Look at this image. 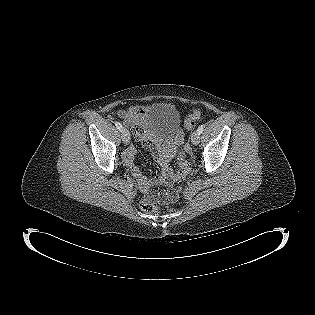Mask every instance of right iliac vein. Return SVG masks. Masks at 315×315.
<instances>
[{"instance_id": "obj_1", "label": "right iliac vein", "mask_w": 315, "mask_h": 315, "mask_svg": "<svg viewBox=\"0 0 315 315\" xmlns=\"http://www.w3.org/2000/svg\"><path fill=\"white\" fill-rule=\"evenodd\" d=\"M122 134H121V137H122V141L124 144H129L130 143V133L127 129L123 128L122 129Z\"/></svg>"}]
</instances>
